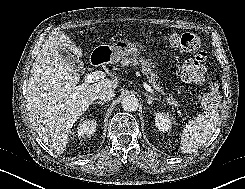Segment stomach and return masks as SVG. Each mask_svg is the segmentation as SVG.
Here are the masks:
<instances>
[{"label": "stomach", "instance_id": "0dacf381", "mask_svg": "<svg viewBox=\"0 0 245 189\" xmlns=\"http://www.w3.org/2000/svg\"><path fill=\"white\" fill-rule=\"evenodd\" d=\"M98 50H108L109 57L111 61H119L120 59L126 58L127 56H132L137 54L143 49L137 43L131 42L127 39L117 40L113 45H101L97 47Z\"/></svg>", "mask_w": 245, "mask_h": 189}]
</instances>
